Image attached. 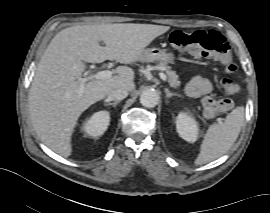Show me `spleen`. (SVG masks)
<instances>
[{
  "mask_svg": "<svg viewBox=\"0 0 270 213\" xmlns=\"http://www.w3.org/2000/svg\"><path fill=\"white\" fill-rule=\"evenodd\" d=\"M244 116V107H236L224 122L211 125L203 138L195 164L202 165L225 154L238 138Z\"/></svg>",
  "mask_w": 270,
  "mask_h": 213,
  "instance_id": "obj_1",
  "label": "spleen"
}]
</instances>
